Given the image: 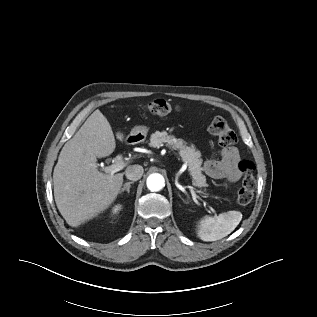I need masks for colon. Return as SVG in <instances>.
I'll list each match as a JSON object with an SVG mask.
<instances>
[{
  "label": "colon",
  "mask_w": 317,
  "mask_h": 317,
  "mask_svg": "<svg viewBox=\"0 0 317 317\" xmlns=\"http://www.w3.org/2000/svg\"><path fill=\"white\" fill-rule=\"evenodd\" d=\"M147 110L153 115H166L173 111V106L164 99H156L148 103ZM210 132L217 136L221 145L229 147L237 142L235 132L229 127L226 120L220 116L215 117L209 126ZM242 174V186L237 192L236 202L240 206L248 205L254 197L256 181L254 177L255 166L252 161L244 159L239 162Z\"/></svg>",
  "instance_id": "obj_1"
}]
</instances>
